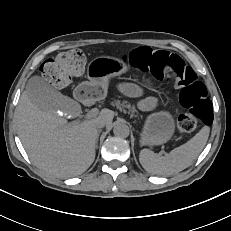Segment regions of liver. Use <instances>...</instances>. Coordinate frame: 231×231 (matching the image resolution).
Here are the masks:
<instances>
[{
  "label": "liver",
  "instance_id": "1",
  "mask_svg": "<svg viewBox=\"0 0 231 231\" xmlns=\"http://www.w3.org/2000/svg\"><path fill=\"white\" fill-rule=\"evenodd\" d=\"M114 112L102 109L95 118L68 123L51 112L36 107L26 94L21 95L16 119L20 140L33 163L60 178L85 172L95 159L98 131L96 124L111 126Z\"/></svg>",
  "mask_w": 231,
  "mask_h": 231
}]
</instances>
